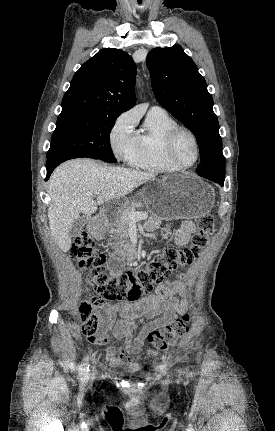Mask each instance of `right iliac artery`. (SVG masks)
Instances as JSON below:
<instances>
[{
	"instance_id": "82829eb1",
	"label": "right iliac artery",
	"mask_w": 275,
	"mask_h": 431,
	"mask_svg": "<svg viewBox=\"0 0 275 431\" xmlns=\"http://www.w3.org/2000/svg\"><path fill=\"white\" fill-rule=\"evenodd\" d=\"M88 371H89V362H88V358L85 357L80 368V374L82 376V379L85 380L88 377Z\"/></svg>"
}]
</instances>
